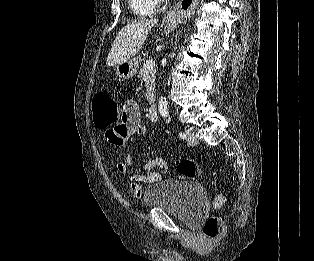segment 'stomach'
<instances>
[{
  "label": "stomach",
  "mask_w": 314,
  "mask_h": 261,
  "mask_svg": "<svg viewBox=\"0 0 314 261\" xmlns=\"http://www.w3.org/2000/svg\"><path fill=\"white\" fill-rule=\"evenodd\" d=\"M140 57L130 58L116 66V74L120 79L132 78L139 67Z\"/></svg>",
  "instance_id": "1"
}]
</instances>
